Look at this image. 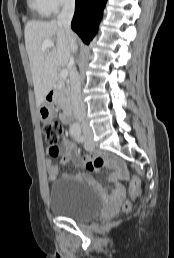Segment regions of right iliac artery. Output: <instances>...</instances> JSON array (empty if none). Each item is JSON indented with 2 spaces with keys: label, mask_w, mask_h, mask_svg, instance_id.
<instances>
[{
  "label": "right iliac artery",
  "mask_w": 174,
  "mask_h": 258,
  "mask_svg": "<svg viewBox=\"0 0 174 258\" xmlns=\"http://www.w3.org/2000/svg\"><path fill=\"white\" fill-rule=\"evenodd\" d=\"M76 132H78L77 129H71V130H70V134H71V135H74Z\"/></svg>",
  "instance_id": "obj_1"
}]
</instances>
